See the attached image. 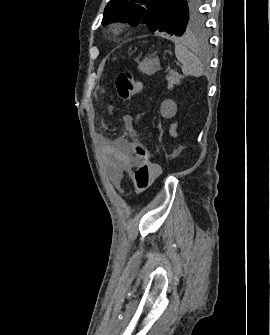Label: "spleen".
I'll list each match as a JSON object with an SVG mask.
<instances>
[{
	"label": "spleen",
	"mask_w": 270,
	"mask_h": 335,
	"mask_svg": "<svg viewBox=\"0 0 270 335\" xmlns=\"http://www.w3.org/2000/svg\"><path fill=\"white\" fill-rule=\"evenodd\" d=\"M173 42H175V56L178 62L182 64L181 68L184 76H195V78L202 76L203 66L199 58L186 48L184 38H175Z\"/></svg>",
	"instance_id": "3e777b00"
}]
</instances>
